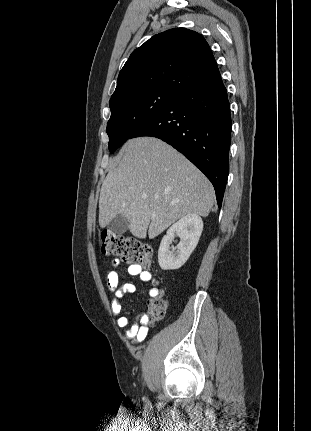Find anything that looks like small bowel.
<instances>
[{
  "label": "small bowel",
  "mask_w": 311,
  "mask_h": 431,
  "mask_svg": "<svg viewBox=\"0 0 311 431\" xmlns=\"http://www.w3.org/2000/svg\"><path fill=\"white\" fill-rule=\"evenodd\" d=\"M119 265L118 260L113 261V266ZM128 274L132 276H138L143 282L152 281V274L143 269L142 266L132 264L127 268ZM106 281L109 289L114 292V298L112 300V311L117 316V324L119 327L125 328L129 326V319L126 316L120 315L122 312L121 300L127 294H132L136 291V287L132 283H124L119 286V275L116 271H109L106 275ZM151 297L159 294L156 288H152L149 291ZM146 320L144 315H140L136 318L135 322L127 329L125 336L127 339H131L134 342H141L147 335L148 328L145 326Z\"/></svg>",
  "instance_id": "1"
}]
</instances>
